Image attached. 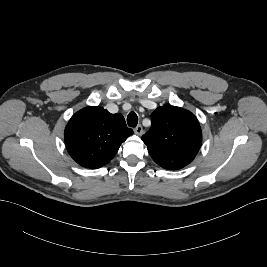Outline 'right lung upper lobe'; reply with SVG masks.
I'll list each match as a JSON object with an SVG mask.
<instances>
[{
	"instance_id": "1",
	"label": "right lung upper lobe",
	"mask_w": 267,
	"mask_h": 267,
	"mask_svg": "<svg viewBox=\"0 0 267 267\" xmlns=\"http://www.w3.org/2000/svg\"><path fill=\"white\" fill-rule=\"evenodd\" d=\"M132 134L122 114L88 106L71 117L65 129V144L79 165L94 169L110 162Z\"/></svg>"
}]
</instances>
